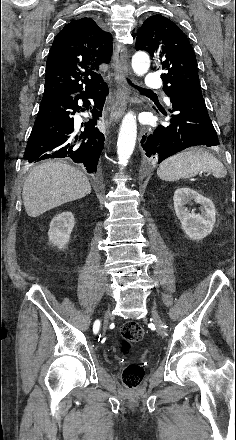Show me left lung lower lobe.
Masks as SVG:
<instances>
[{
  "instance_id": "obj_1",
  "label": "left lung lower lobe",
  "mask_w": 236,
  "mask_h": 440,
  "mask_svg": "<svg viewBox=\"0 0 236 440\" xmlns=\"http://www.w3.org/2000/svg\"><path fill=\"white\" fill-rule=\"evenodd\" d=\"M169 97L172 103L170 112L175 113L170 124L159 125L142 136L141 143L147 157L160 163L191 146L219 145L200 85L185 86Z\"/></svg>"
}]
</instances>
